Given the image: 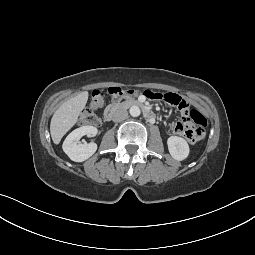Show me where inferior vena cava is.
Here are the masks:
<instances>
[{"mask_svg": "<svg viewBox=\"0 0 255 255\" xmlns=\"http://www.w3.org/2000/svg\"><path fill=\"white\" fill-rule=\"evenodd\" d=\"M128 117V112L125 109H117L113 113V121L120 122Z\"/></svg>", "mask_w": 255, "mask_h": 255, "instance_id": "obj_1", "label": "inferior vena cava"}]
</instances>
